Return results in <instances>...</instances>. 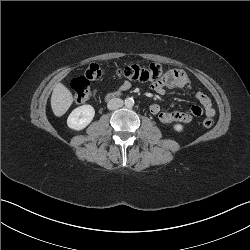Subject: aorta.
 <instances>
[{
  "label": "aorta",
  "mask_w": 250,
  "mask_h": 250,
  "mask_svg": "<svg viewBox=\"0 0 250 250\" xmlns=\"http://www.w3.org/2000/svg\"><path fill=\"white\" fill-rule=\"evenodd\" d=\"M125 106L127 108H132L134 106V99L132 97H128L125 99Z\"/></svg>",
  "instance_id": "762f6f07"
}]
</instances>
